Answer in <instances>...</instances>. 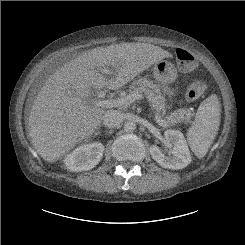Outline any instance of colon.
Returning a JSON list of instances; mask_svg holds the SVG:
<instances>
[{"instance_id": "obj_1", "label": "colon", "mask_w": 245, "mask_h": 245, "mask_svg": "<svg viewBox=\"0 0 245 245\" xmlns=\"http://www.w3.org/2000/svg\"><path fill=\"white\" fill-rule=\"evenodd\" d=\"M176 57L178 67L182 72L193 71L197 66L194 55L185 48H178L176 50ZM206 89L207 86L203 81H193L187 86L186 97L188 100L198 99L205 93Z\"/></svg>"}]
</instances>
